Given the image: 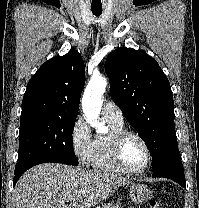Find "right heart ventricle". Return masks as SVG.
I'll list each match as a JSON object with an SVG mask.
<instances>
[{
	"label": "right heart ventricle",
	"instance_id": "e07e8e85",
	"mask_svg": "<svg viewBox=\"0 0 199 208\" xmlns=\"http://www.w3.org/2000/svg\"><path fill=\"white\" fill-rule=\"evenodd\" d=\"M110 131L104 136H98L94 140V148L90 161L92 168L108 172L124 173L113 161L111 143L116 134L125 130L124 123H116L106 119Z\"/></svg>",
	"mask_w": 199,
	"mask_h": 208
}]
</instances>
